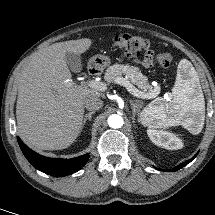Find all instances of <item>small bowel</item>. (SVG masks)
Returning a JSON list of instances; mask_svg holds the SVG:
<instances>
[{"label": "small bowel", "instance_id": "obj_1", "mask_svg": "<svg viewBox=\"0 0 215 215\" xmlns=\"http://www.w3.org/2000/svg\"><path fill=\"white\" fill-rule=\"evenodd\" d=\"M141 64L144 67H150L153 64V53L151 51H148L143 58Z\"/></svg>", "mask_w": 215, "mask_h": 215}]
</instances>
